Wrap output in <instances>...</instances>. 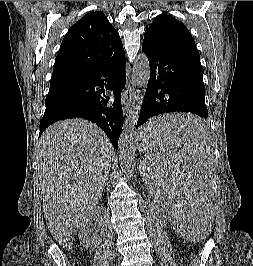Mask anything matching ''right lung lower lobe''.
<instances>
[{
	"label": "right lung lower lobe",
	"mask_w": 253,
	"mask_h": 266,
	"mask_svg": "<svg viewBox=\"0 0 253 266\" xmlns=\"http://www.w3.org/2000/svg\"><path fill=\"white\" fill-rule=\"evenodd\" d=\"M102 77L105 79H101ZM125 82V56L98 72L78 79L53 108L45 111L40 122L39 135L58 120L83 118L97 124L106 133L112 145L118 148L124 122L121 92ZM103 85L114 92L113 104H109V97L102 89H96V86Z\"/></svg>",
	"instance_id": "right-lung-lower-lobe-1"
}]
</instances>
